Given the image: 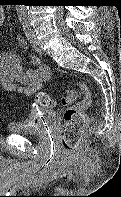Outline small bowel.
Segmentation results:
<instances>
[{
  "label": "small bowel",
  "mask_w": 121,
  "mask_h": 197,
  "mask_svg": "<svg viewBox=\"0 0 121 197\" xmlns=\"http://www.w3.org/2000/svg\"><path fill=\"white\" fill-rule=\"evenodd\" d=\"M4 20L5 13L0 8V26ZM16 40L22 50L27 49L21 36H17ZM29 65L30 68L24 71L22 59L18 53L7 48L0 50V85L6 91H16L24 96H30L40 90L50 78V72L37 56L30 57Z\"/></svg>",
  "instance_id": "obj_1"
}]
</instances>
